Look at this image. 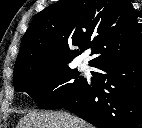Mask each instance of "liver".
<instances>
[{
    "label": "liver",
    "instance_id": "obj_1",
    "mask_svg": "<svg viewBox=\"0 0 142 128\" xmlns=\"http://www.w3.org/2000/svg\"><path fill=\"white\" fill-rule=\"evenodd\" d=\"M17 128H93L83 119L66 112H30Z\"/></svg>",
    "mask_w": 142,
    "mask_h": 128
}]
</instances>
